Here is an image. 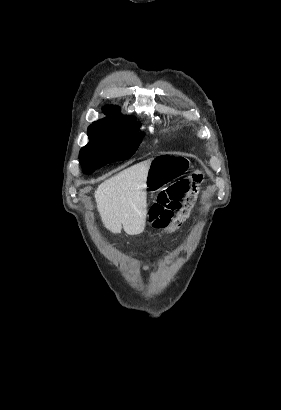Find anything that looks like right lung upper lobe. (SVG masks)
Here are the masks:
<instances>
[{"instance_id": "1", "label": "right lung upper lobe", "mask_w": 281, "mask_h": 410, "mask_svg": "<svg viewBox=\"0 0 281 410\" xmlns=\"http://www.w3.org/2000/svg\"><path fill=\"white\" fill-rule=\"evenodd\" d=\"M103 112L107 115L105 118L98 121L110 122V123H130L133 122L132 116L121 115L120 110L117 106H105L103 107Z\"/></svg>"}]
</instances>
